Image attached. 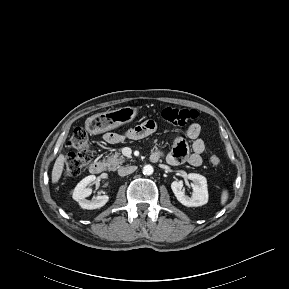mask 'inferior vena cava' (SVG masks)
Returning <instances> with one entry per match:
<instances>
[{"label": "inferior vena cava", "mask_w": 289, "mask_h": 289, "mask_svg": "<svg viewBox=\"0 0 289 289\" xmlns=\"http://www.w3.org/2000/svg\"><path fill=\"white\" fill-rule=\"evenodd\" d=\"M137 169L136 166H127V167H122L118 170L119 176H126L128 174L133 173Z\"/></svg>", "instance_id": "1"}]
</instances>
